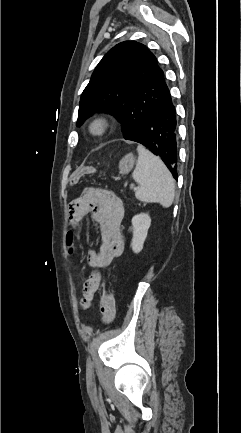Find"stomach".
Listing matches in <instances>:
<instances>
[{"instance_id": "stomach-1", "label": "stomach", "mask_w": 241, "mask_h": 433, "mask_svg": "<svg viewBox=\"0 0 241 433\" xmlns=\"http://www.w3.org/2000/svg\"><path fill=\"white\" fill-rule=\"evenodd\" d=\"M135 163V156L132 153L125 155L119 162V173L122 175L128 174Z\"/></svg>"}]
</instances>
